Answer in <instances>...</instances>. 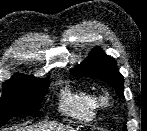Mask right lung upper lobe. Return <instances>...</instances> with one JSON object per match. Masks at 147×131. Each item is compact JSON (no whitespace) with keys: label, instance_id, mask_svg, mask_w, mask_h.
Masks as SVG:
<instances>
[{"label":"right lung upper lobe","instance_id":"1","mask_svg":"<svg viewBox=\"0 0 147 131\" xmlns=\"http://www.w3.org/2000/svg\"><path fill=\"white\" fill-rule=\"evenodd\" d=\"M13 77H29V76H25V75H22V74H16Z\"/></svg>","mask_w":147,"mask_h":131}]
</instances>
